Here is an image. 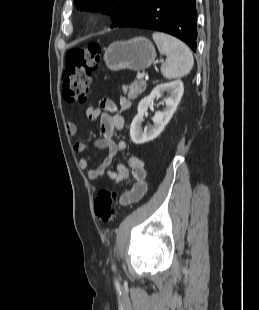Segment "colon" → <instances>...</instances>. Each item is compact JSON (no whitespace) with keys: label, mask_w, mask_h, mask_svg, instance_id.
<instances>
[{"label":"colon","mask_w":259,"mask_h":310,"mask_svg":"<svg viewBox=\"0 0 259 310\" xmlns=\"http://www.w3.org/2000/svg\"><path fill=\"white\" fill-rule=\"evenodd\" d=\"M102 51L101 45L89 43L67 53L63 85L66 101L83 103L87 100L91 74L99 67ZM115 199V194L108 189H102L97 194L93 209L102 222L109 223L114 220Z\"/></svg>","instance_id":"colon-1"}]
</instances>
